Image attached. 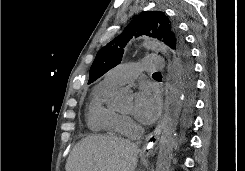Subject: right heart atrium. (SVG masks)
<instances>
[{"label": "right heart atrium", "instance_id": "1", "mask_svg": "<svg viewBox=\"0 0 245 171\" xmlns=\"http://www.w3.org/2000/svg\"><path fill=\"white\" fill-rule=\"evenodd\" d=\"M134 129V124L127 116H120L118 130L121 133H130Z\"/></svg>", "mask_w": 245, "mask_h": 171}]
</instances>
